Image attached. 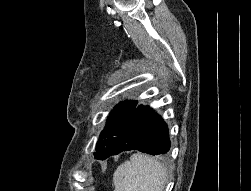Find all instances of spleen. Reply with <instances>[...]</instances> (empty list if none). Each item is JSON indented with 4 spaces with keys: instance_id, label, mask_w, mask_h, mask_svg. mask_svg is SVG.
Masks as SVG:
<instances>
[{
    "instance_id": "obj_1",
    "label": "spleen",
    "mask_w": 251,
    "mask_h": 191,
    "mask_svg": "<svg viewBox=\"0 0 251 191\" xmlns=\"http://www.w3.org/2000/svg\"><path fill=\"white\" fill-rule=\"evenodd\" d=\"M167 171L155 157L133 153L113 173L114 191H163Z\"/></svg>"
}]
</instances>
